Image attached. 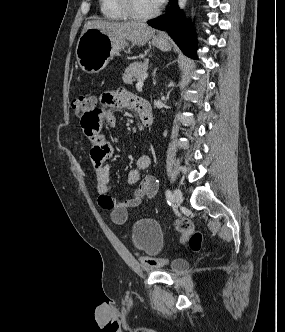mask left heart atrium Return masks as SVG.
<instances>
[{
	"label": "left heart atrium",
	"instance_id": "39dd6f15",
	"mask_svg": "<svg viewBox=\"0 0 285 332\" xmlns=\"http://www.w3.org/2000/svg\"><path fill=\"white\" fill-rule=\"evenodd\" d=\"M153 2L155 3V5L157 7H159L160 5H162L165 2V0H153Z\"/></svg>",
	"mask_w": 285,
	"mask_h": 332
}]
</instances>
